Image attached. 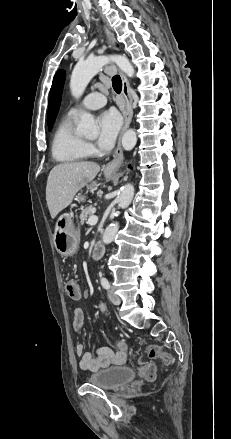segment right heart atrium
<instances>
[{"label": "right heart atrium", "mask_w": 231, "mask_h": 439, "mask_svg": "<svg viewBox=\"0 0 231 439\" xmlns=\"http://www.w3.org/2000/svg\"><path fill=\"white\" fill-rule=\"evenodd\" d=\"M86 147L89 153H92L94 151V147L91 144H86Z\"/></svg>", "instance_id": "right-heart-atrium-1"}]
</instances>
